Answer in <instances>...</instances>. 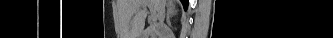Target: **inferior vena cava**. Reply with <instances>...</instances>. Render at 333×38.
I'll return each mask as SVG.
<instances>
[{"label": "inferior vena cava", "mask_w": 333, "mask_h": 38, "mask_svg": "<svg viewBox=\"0 0 333 38\" xmlns=\"http://www.w3.org/2000/svg\"><path fill=\"white\" fill-rule=\"evenodd\" d=\"M165 18V0H160L159 4V21L163 24Z\"/></svg>", "instance_id": "inferior-vena-cava-1"}]
</instances>
